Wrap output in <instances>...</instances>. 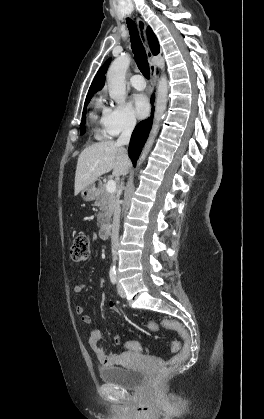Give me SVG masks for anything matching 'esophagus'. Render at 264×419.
<instances>
[{
    "label": "esophagus",
    "mask_w": 264,
    "mask_h": 419,
    "mask_svg": "<svg viewBox=\"0 0 264 419\" xmlns=\"http://www.w3.org/2000/svg\"><path fill=\"white\" fill-rule=\"evenodd\" d=\"M137 25H138V29H139V33L141 36V39L143 41V44L145 46L146 49V53H147V57L149 60V67H150V74H151V81H150V87L151 89L154 88L155 83H156V67L155 65H153L150 60L152 58V52L150 50L149 44H148V39L146 36V25L144 23V21L140 18H137Z\"/></svg>",
    "instance_id": "34e87169"
}]
</instances>
